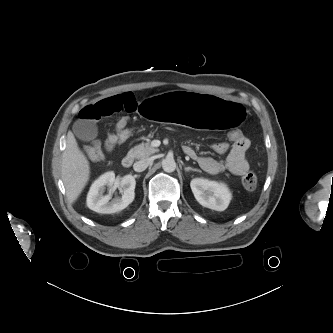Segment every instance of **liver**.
I'll use <instances>...</instances> for the list:
<instances>
[{"instance_id": "1", "label": "liver", "mask_w": 333, "mask_h": 333, "mask_svg": "<svg viewBox=\"0 0 333 333\" xmlns=\"http://www.w3.org/2000/svg\"><path fill=\"white\" fill-rule=\"evenodd\" d=\"M89 176V161L79 149L73 133L69 131L62 156V180L70 201L74 202L79 197Z\"/></svg>"}]
</instances>
